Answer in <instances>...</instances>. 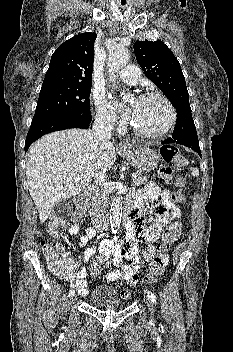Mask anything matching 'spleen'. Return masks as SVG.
I'll return each mask as SVG.
<instances>
[{
  "label": "spleen",
  "instance_id": "3e777b00",
  "mask_svg": "<svg viewBox=\"0 0 233 352\" xmlns=\"http://www.w3.org/2000/svg\"><path fill=\"white\" fill-rule=\"evenodd\" d=\"M191 174L194 177H198L199 176V170L197 168H193Z\"/></svg>",
  "mask_w": 233,
  "mask_h": 352
}]
</instances>
